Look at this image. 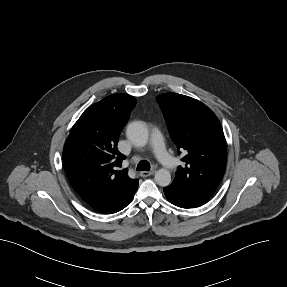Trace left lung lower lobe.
<instances>
[{
  "label": "left lung lower lobe",
  "mask_w": 287,
  "mask_h": 287,
  "mask_svg": "<svg viewBox=\"0 0 287 287\" xmlns=\"http://www.w3.org/2000/svg\"><path fill=\"white\" fill-rule=\"evenodd\" d=\"M166 198L181 208H196L205 204L210 197L183 186L169 185L164 188Z\"/></svg>",
  "instance_id": "1"
}]
</instances>
